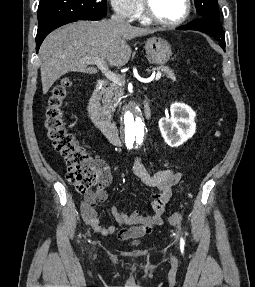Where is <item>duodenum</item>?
Wrapping results in <instances>:
<instances>
[{"label":"duodenum","mask_w":255,"mask_h":287,"mask_svg":"<svg viewBox=\"0 0 255 287\" xmlns=\"http://www.w3.org/2000/svg\"><path fill=\"white\" fill-rule=\"evenodd\" d=\"M106 89V84L103 81H99L93 92L88 98L86 110L91 121L103 132L108 140L113 144H119L120 139L118 136V129L114 122L109 119L100 108V100ZM145 114L150 116V107L147 102L144 104Z\"/></svg>","instance_id":"obj_1"}]
</instances>
